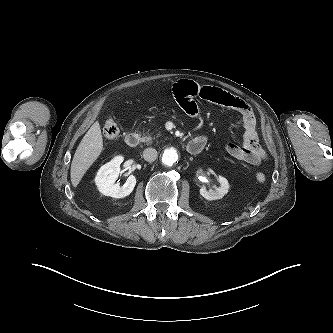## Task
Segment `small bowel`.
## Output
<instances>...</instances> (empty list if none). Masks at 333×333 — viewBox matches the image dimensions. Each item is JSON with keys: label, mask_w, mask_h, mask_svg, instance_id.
<instances>
[{"label": "small bowel", "mask_w": 333, "mask_h": 333, "mask_svg": "<svg viewBox=\"0 0 333 333\" xmlns=\"http://www.w3.org/2000/svg\"><path fill=\"white\" fill-rule=\"evenodd\" d=\"M173 94L181 107L192 116H197L199 113L196 98L238 112L244 127L243 143L241 145L228 143L226 146L228 154L253 166L259 165L266 158V153L259 143L254 112L244 100L220 88L200 85L190 80L177 82L173 87ZM195 140H202L206 143V136L200 134Z\"/></svg>", "instance_id": "obj_1"}]
</instances>
